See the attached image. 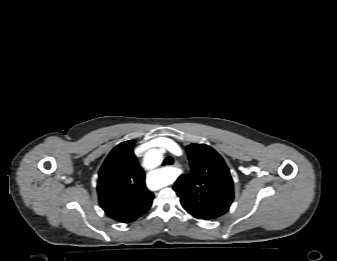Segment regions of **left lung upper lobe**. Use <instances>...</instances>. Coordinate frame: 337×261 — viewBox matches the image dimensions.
Segmentation results:
<instances>
[{"label":"left lung upper lobe","instance_id":"obj_1","mask_svg":"<svg viewBox=\"0 0 337 261\" xmlns=\"http://www.w3.org/2000/svg\"><path fill=\"white\" fill-rule=\"evenodd\" d=\"M191 172L174 184L183 208L197 219L210 220L225 214L233 201V181L223 158L210 146L186 147Z\"/></svg>","mask_w":337,"mask_h":261}]
</instances>
